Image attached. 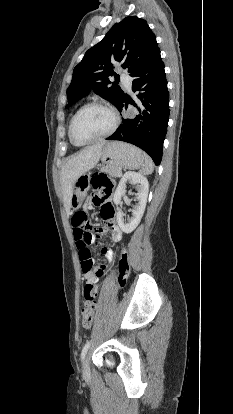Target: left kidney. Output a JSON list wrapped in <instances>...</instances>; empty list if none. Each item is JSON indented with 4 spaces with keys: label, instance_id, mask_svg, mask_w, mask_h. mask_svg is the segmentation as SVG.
Segmentation results:
<instances>
[{
    "label": "left kidney",
    "instance_id": "5707ae66",
    "mask_svg": "<svg viewBox=\"0 0 233 414\" xmlns=\"http://www.w3.org/2000/svg\"><path fill=\"white\" fill-rule=\"evenodd\" d=\"M128 181H131L133 184L137 185L138 192L136 193V197L138 199V204L132 210V217L130 220H128L127 223L123 218V213L121 211L117 212L118 225L120 229L127 234L131 233L140 223L145 211L149 191V183L146 177H144L140 173L128 171L121 178L118 187L114 193L113 200L116 205L121 204V197L126 192L125 187Z\"/></svg>",
    "mask_w": 233,
    "mask_h": 414
}]
</instances>
